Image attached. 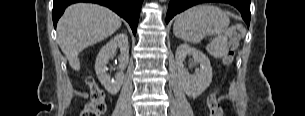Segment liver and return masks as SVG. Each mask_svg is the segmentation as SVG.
Listing matches in <instances>:
<instances>
[{"instance_id":"liver-1","label":"liver","mask_w":305,"mask_h":116,"mask_svg":"<svg viewBox=\"0 0 305 116\" xmlns=\"http://www.w3.org/2000/svg\"><path fill=\"white\" fill-rule=\"evenodd\" d=\"M120 26L121 18L107 7L91 3L73 4L58 22V44L72 69L79 71V53L109 37Z\"/></svg>"}]
</instances>
